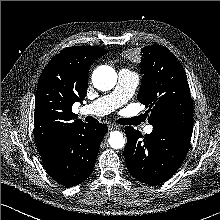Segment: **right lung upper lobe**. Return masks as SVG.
Segmentation results:
<instances>
[{"instance_id":"obj_1","label":"right lung upper lobe","mask_w":220,"mask_h":220,"mask_svg":"<svg viewBox=\"0 0 220 220\" xmlns=\"http://www.w3.org/2000/svg\"><path fill=\"white\" fill-rule=\"evenodd\" d=\"M97 46L68 47L54 56L44 68L35 100V140L40 154L84 124L72 112L82 102L88 86V72L94 60L107 54Z\"/></svg>"}]
</instances>
